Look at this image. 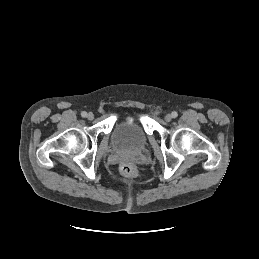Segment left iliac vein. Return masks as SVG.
Returning a JSON list of instances; mask_svg holds the SVG:
<instances>
[{"instance_id":"4c4485c4","label":"left iliac vein","mask_w":259,"mask_h":259,"mask_svg":"<svg viewBox=\"0 0 259 259\" xmlns=\"http://www.w3.org/2000/svg\"><path fill=\"white\" fill-rule=\"evenodd\" d=\"M171 119H172V115H171V114H167V115L165 116V120H166L167 122H170Z\"/></svg>"}]
</instances>
